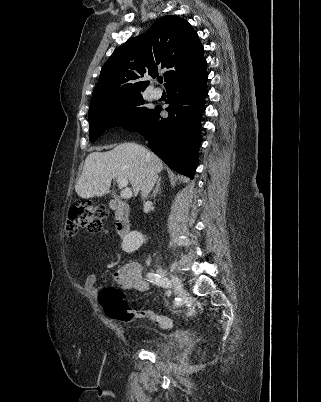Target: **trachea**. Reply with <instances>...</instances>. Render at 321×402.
Wrapping results in <instances>:
<instances>
[{"label": "trachea", "mask_w": 321, "mask_h": 402, "mask_svg": "<svg viewBox=\"0 0 321 402\" xmlns=\"http://www.w3.org/2000/svg\"><path fill=\"white\" fill-rule=\"evenodd\" d=\"M158 81H159L160 83H163V79H162V78H158Z\"/></svg>", "instance_id": "1"}]
</instances>
